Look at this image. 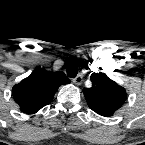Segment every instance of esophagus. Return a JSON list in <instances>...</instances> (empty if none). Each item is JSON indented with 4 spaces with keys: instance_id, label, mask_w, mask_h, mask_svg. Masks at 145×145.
<instances>
[{
    "instance_id": "1",
    "label": "esophagus",
    "mask_w": 145,
    "mask_h": 145,
    "mask_svg": "<svg viewBox=\"0 0 145 145\" xmlns=\"http://www.w3.org/2000/svg\"><path fill=\"white\" fill-rule=\"evenodd\" d=\"M82 81H83V78L81 74H79L77 77L73 79V83L76 85H81Z\"/></svg>"
}]
</instances>
